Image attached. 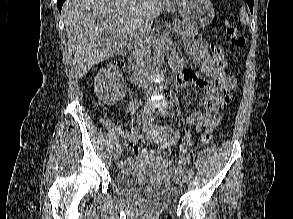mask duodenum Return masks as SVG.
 <instances>
[{
    "label": "duodenum",
    "instance_id": "410a0bca",
    "mask_svg": "<svg viewBox=\"0 0 293 219\" xmlns=\"http://www.w3.org/2000/svg\"><path fill=\"white\" fill-rule=\"evenodd\" d=\"M129 67L133 70L131 77V83L134 86H139L141 84V59H140V47L136 44L129 58ZM172 70L176 74L180 73V66L177 62H172Z\"/></svg>",
    "mask_w": 293,
    "mask_h": 219
}]
</instances>
